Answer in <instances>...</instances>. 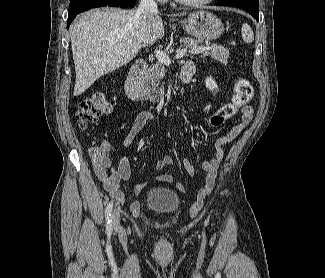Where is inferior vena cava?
Returning a JSON list of instances; mask_svg holds the SVG:
<instances>
[{"label": "inferior vena cava", "mask_w": 325, "mask_h": 278, "mask_svg": "<svg viewBox=\"0 0 325 278\" xmlns=\"http://www.w3.org/2000/svg\"><path fill=\"white\" fill-rule=\"evenodd\" d=\"M158 12L157 4L154 0H141L138 13L143 14L146 19H152L154 14Z\"/></svg>", "instance_id": "inferior-vena-cava-1"}]
</instances>
